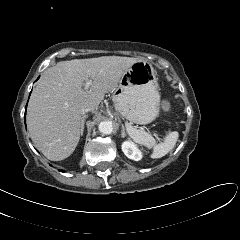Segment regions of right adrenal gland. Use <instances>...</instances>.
Instances as JSON below:
<instances>
[{
    "label": "right adrenal gland",
    "mask_w": 240,
    "mask_h": 240,
    "mask_svg": "<svg viewBox=\"0 0 240 240\" xmlns=\"http://www.w3.org/2000/svg\"><path fill=\"white\" fill-rule=\"evenodd\" d=\"M86 118H87V116L84 115V116H83V124H82V133H81V136L83 135V131H84V122H85Z\"/></svg>",
    "instance_id": "obj_1"
}]
</instances>
